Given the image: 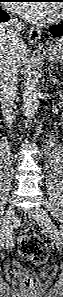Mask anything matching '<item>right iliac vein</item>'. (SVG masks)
<instances>
[{"label": "right iliac vein", "instance_id": "63e3f726", "mask_svg": "<svg viewBox=\"0 0 63 297\" xmlns=\"http://www.w3.org/2000/svg\"><path fill=\"white\" fill-rule=\"evenodd\" d=\"M14 207L13 205H9V207L7 208L5 217H4V221H3V225H2V230H5L9 224L11 223L12 219L14 218ZM6 249H11L13 247V240L12 237H7L6 239V244H5Z\"/></svg>", "mask_w": 63, "mask_h": 297}]
</instances>
